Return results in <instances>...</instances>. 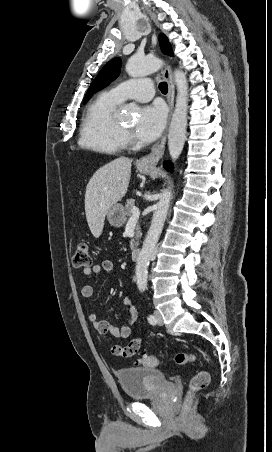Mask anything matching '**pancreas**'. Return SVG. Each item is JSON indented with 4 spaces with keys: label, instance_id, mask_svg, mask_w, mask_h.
<instances>
[{
    "label": "pancreas",
    "instance_id": "1",
    "mask_svg": "<svg viewBox=\"0 0 272 452\" xmlns=\"http://www.w3.org/2000/svg\"><path fill=\"white\" fill-rule=\"evenodd\" d=\"M135 206V200L134 199H128L125 204V214L127 217H131L132 215V208ZM142 237L141 228L140 225L137 224L136 226V232L135 237L131 239L130 241V248L133 250L135 249L139 244V239Z\"/></svg>",
    "mask_w": 272,
    "mask_h": 452
}]
</instances>
